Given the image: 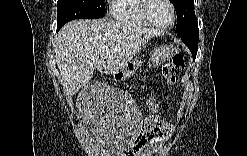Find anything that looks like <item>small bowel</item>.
<instances>
[{
	"mask_svg": "<svg viewBox=\"0 0 247 156\" xmlns=\"http://www.w3.org/2000/svg\"><path fill=\"white\" fill-rule=\"evenodd\" d=\"M148 106L152 112L151 116H155V114L159 112V105L153 98L148 101ZM150 117L148 119V122L151 121ZM159 119L161 120L159 130H156L155 134H153L152 136L142 134V137L138 141L140 145H145L148 143L149 146H141L140 148L135 149L133 153L145 154L153 150L157 151L162 141L172 135V133L174 132V126L169 122L161 119V117H159Z\"/></svg>",
	"mask_w": 247,
	"mask_h": 156,
	"instance_id": "obj_1",
	"label": "small bowel"
}]
</instances>
